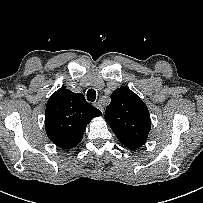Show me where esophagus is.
<instances>
[{"instance_id": "34e87169", "label": "esophagus", "mask_w": 203, "mask_h": 203, "mask_svg": "<svg viewBox=\"0 0 203 203\" xmlns=\"http://www.w3.org/2000/svg\"><path fill=\"white\" fill-rule=\"evenodd\" d=\"M94 106H95L96 108H98L102 113L104 112V108H103V106H102L99 102H96V103L94 104Z\"/></svg>"}]
</instances>
